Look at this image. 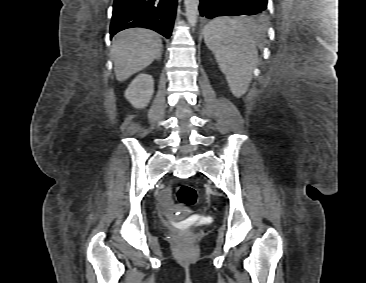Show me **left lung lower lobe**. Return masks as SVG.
<instances>
[{"instance_id": "1", "label": "left lung lower lobe", "mask_w": 366, "mask_h": 283, "mask_svg": "<svg viewBox=\"0 0 366 283\" xmlns=\"http://www.w3.org/2000/svg\"><path fill=\"white\" fill-rule=\"evenodd\" d=\"M200 15L205 19L218 16H258L267 12V0H200Z\"/></svg>"}]
</instances>
